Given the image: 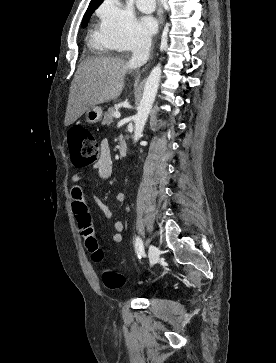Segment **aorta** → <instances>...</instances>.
<instances>
[{
	"label": "aorta",
	"mask_w": 276,
	"mask_h": 363,
	"mask_svg": "<svg viewBox=\"0 0 276 363\" xmlns=\"http://www.w3.org/2000/svg\"><path fill=\"white\" fill-rule=\"evenodd\" d=\"M161 73L162 67L161 64H158L152 69L146 80L143 96L138 108V112L135 116L134 143H136L142 136L145 123L157 94Z\"/></svg>",
	"instance_id": "762f6f07"
}]
</instances>
